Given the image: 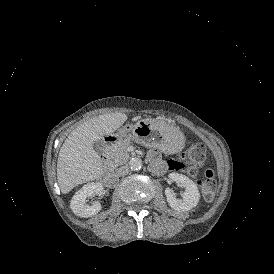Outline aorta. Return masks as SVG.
<instances>
[{"label": "aorta", "instance_id": "1", "mask_svg": "<svg viewBox=\"0 0 274 274\" xmlns=\"http://www.w3.org/2000/svg\"><path fill=\"white\" fill-rule=\"evenodd\" d=\"M142 166V160L139 159V158H132L130 161H129V167L132 169V170H139Z\"/></svg>", "mask_w": 274, "mask_h": 274}]
</instances>
